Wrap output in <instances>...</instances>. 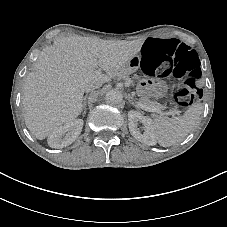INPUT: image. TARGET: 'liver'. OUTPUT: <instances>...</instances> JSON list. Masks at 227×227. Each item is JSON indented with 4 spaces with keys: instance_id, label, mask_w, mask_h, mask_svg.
Here are the masks:
<instances>
[{
    "instance_id": "obj_1",
    "label": "liver",
    "mask_w": 227,
    "mask_h": 227,
    "mask_svg": "<svg viewBox=\"0 0 227 227\" xmlns=\"http://www.w3.org/2000/svg\"><path fill=\"white\" fill-rule=\"evenodd\" d=\"M143 42L76 35L57 38L45 47L23 85L22 105L30 132L43 140L54 128L78 117L86 87L109 82L110 73H125L124 66Z\"/></svg>"
}]
</instances>
